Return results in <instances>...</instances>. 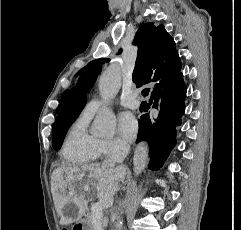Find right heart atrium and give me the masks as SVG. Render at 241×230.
I'll return each instance as SVG.
<instances>
[{
	"label": "right heart atrium",
	"instance_id": "d8ad5b80",
	"mask_svg": "<svg viewBox=\"0 0 241 230\" xmlns=\"http://www.w3.org/2000/svg\"><path fill=\"white\" fill-rule=\"evenodd\" d=\"M100 150L102 155L116 156L126 152L127 145L119 139L101 140Z\"/></svg>",
	"mask_w": 241,
	"mask_h": 230
}]
</instances>
